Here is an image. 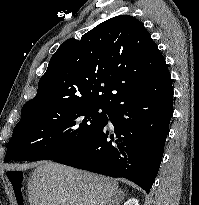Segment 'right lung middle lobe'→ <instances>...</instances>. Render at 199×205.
<instances>
[{
    "label": "right lung middle lobe",
    "instance_id": "1",
    "mask_svg": "<svg viewBox=\"0 0 199 205\" xmlns=\"http://www.w3.org/2000/svg\"><path fill=\"white\" fill-rule=\"evenodd\" d=\"M107 112L104 107L67 102L25 106L7 144L4 161L66 156L105 125Z\"/></svg>",
    "mask_w": 199,
    "mask_h": 205
}]
</instances>
